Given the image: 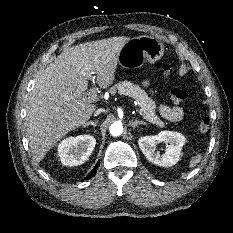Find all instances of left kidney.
Segmentation results:
<instances>
[{
    "label": "left kidney",
    "instance_id": "left-kidney-1",
    "mask_svg": "<svg viewBox=\"0 0 233 233\" xmlns=\"http://www.w3.org/2000/svg\"><path fill=\"white\" fill-rule=\"evenodd\" d=\"M185 140L181 133L161 131L158 135L141 137L138 144L149 162L162 167H171L180 160V153ZM161 142L167 145L165 153L162 155L155 150L156 144Z\"/></svg>",
    "mask_w": 233,
    "mask_h": 233
}]
</instances>
